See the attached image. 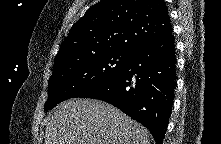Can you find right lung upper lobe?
<instances>
[{"label":"right lung upper lobe","instance_id":"cb5924a9","mask_svg":"<svg viewBox=\"0 0 221 144\" xmlns=\"http://www.w3.org/2000/svg\"><path fill=\"white\" fill-rule=\"evenodd\" d=\"M171 30L163 0H102L72 26L53 68L105 52L131 55Z\"/></svg>","mask_w":221,"mask_h":144}]
</instances>
